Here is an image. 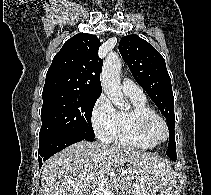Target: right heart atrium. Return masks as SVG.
Returning <instances> with one entry per match:
<instances>
[{
    "label": "right heart atrium",
    "instance_id": "right-heart-atrium-1",
    "mask_svg": "<svg viewBox=\"0 0 211 195\" xmlns=\"http://www.w3.org/2000/svg\"><path fill=\"white\" fill-rule=\"evenodd\" d=\"M117 111L105 95H100L91 112V124L96 136L111 142L116 129Z\"/></svg>",
    "mask_w": 211,
    "mask_h": 195
}]
</instances>
